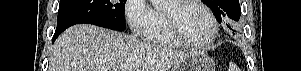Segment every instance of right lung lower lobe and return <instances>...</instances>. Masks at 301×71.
I'll list each match as a JSON object with an SVG mask.
<instances>
[{
	"label": "right lung lower lobe",
	"instance_id": "right-lung-lower-lobe-1",
	"mask_svg": "<svg viewBox=\"0 0 301 71\" xmlns=\"http://www.w3.org/2000/svg\"><path fill=\"white\" fill-rule=\"evenodd\" d=\"M65 29H56V31H55V34H54V36H53V38H52V42H54L55 41V39L64 31Z\"/></svg>",
	"mask_w": 301,
	"mask_h": 71
}]
</instances>
